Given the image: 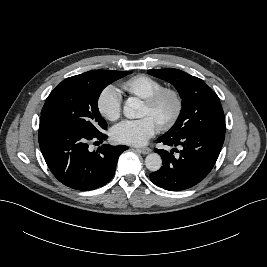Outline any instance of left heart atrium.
I'll list each match as a JSON object with an SVG mask.
<instances>
[{
	"label": "left heart atrium",
	"mask_w": 267,
	"mask_h": 267,
	"mask_svg": "<svg viewBox=\"0 0 267 267\" xmlns=\"http://www.w3.org/2000/svg\"><path fill=\"white\" fill-rule=\"evenodd\" d=\"M158 130V124L150 117L124 120L111 130L112 138L119 143L140 146L148 142Z\"/></svg>",
	"instance_id": "39dd6f15"
}]
</instances>
